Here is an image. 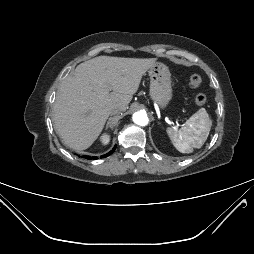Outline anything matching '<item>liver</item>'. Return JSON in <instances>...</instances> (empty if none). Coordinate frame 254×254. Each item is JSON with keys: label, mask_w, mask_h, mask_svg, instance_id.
<instances>
[{"label": "liver", "mask_w": 254, "mask_h": 254, "mask_svg": "<svg viewBox=\"0 0 254 254\" xmlns=\"http://www.w3.org/2000/svg\"><path fill=\"white\" fill-rule=\"evenodd\" d=\"M155 62L156 58L99 56L79 64L61 82L53 106L54 128L63 143L76 151L89 148L110 110L127 109L142 76Z\"/></svg>", "instance_id": "6515ba94"}]
</instances>
